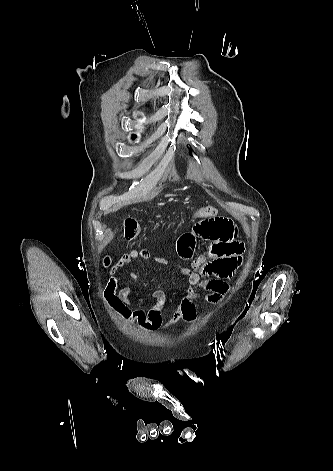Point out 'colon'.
Segmentation results:
<instances>
[{
    "label": "colon",
    "instance_id": "colon-1",
    "mask_svg": "<svg viewBox=\"0 0 333 471\" xmlns=\"http://www.w3.org/2000/svg\"><path fill=\"white\" fill-rule=\"evenodd\" d=\"M196 215L198 217H211L217 215V209L214 206L200 208ZM141 227L134 219H126L123 223V234L126 240H133L140 235Z\"/></svg>",
    "mask_w": 333,
    "mask_h": 471
}]
</instances>
